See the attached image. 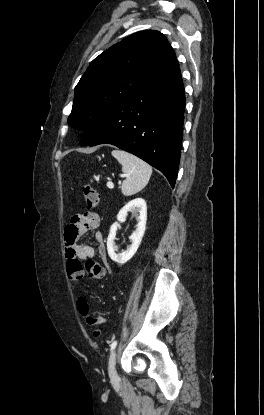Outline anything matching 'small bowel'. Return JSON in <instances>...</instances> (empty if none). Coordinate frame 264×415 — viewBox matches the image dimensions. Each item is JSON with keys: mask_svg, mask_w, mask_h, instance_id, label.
<instances>
[{"mask_svg": "<svg viewBox=\"0 0 264 415\" xmlns=\"http://www.w3.org/2000/svg\"><path fill=\"white\" fill-rule=\"evenodd\" d=\"M99 217L96 213L87 214L85 217L73 216L70 225L65 231V258L67 261L80 260L86 261L95 257L96 250L93 246L79 243V238L88 231L95 230V241L97 242V252L101 259L106 260V247L103 235L98 231ZM74 279V276H70Z\"/></svg>", "mask_w": 264, "mask_h": 415, "instance_id": "c3829d8e", "label": "small bowel"}]
</instances>
